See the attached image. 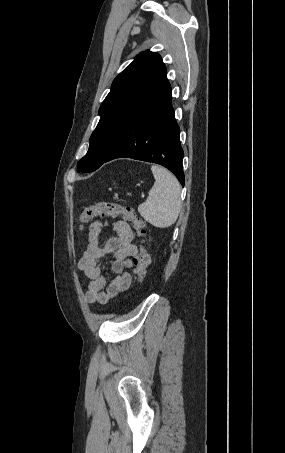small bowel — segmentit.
I'll list each match as a JSON object with an SVG mask.
<instances>
[{
  "label": "small bowel",
  "instance_id": "small-bowel-1",
  "mask_svg": "<svg viewBox=\"0 0 285 453\" xmlns=\"http://www.w3.org/2000/svg\"><path fill=\"white\" fill-rule=\"evenodd\" d=\"M107 222L95 221L89 227L88 242L78 268L89 279L86 300L89 303L104 304L129 288L132 278L128 269L132 266V258L138 253L133 243L134 234L125 221L113 223L115 236L110 237L104 245L100 243L99 235ZM108 254H113L112 271L116 277L107 284L102 273L100 260Z\"/></svg>",
  "mask_w": 285,
  "mask_h": 453
}]
</instances>
